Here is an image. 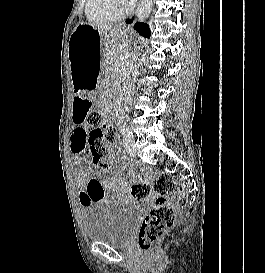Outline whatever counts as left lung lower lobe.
<instances>
[{"instance_id": "obj_1", "label": "left lung lower lobe", "mask_w": 265, "mask_h": 273, "mask_svg": "<svg viewBox=\"0 0 265 273\" xmlns=\"http://www.w3.org/2000/svg\"><path fill=\"white\" fill-rule=\"evenodd\" d=\"M134 29L139 33L141 34L142 36L144 37H150L151 35V32H150V29H149V26L145 23H140V22H137L135 25H134Z\"/></svg>"}]
</instances>
